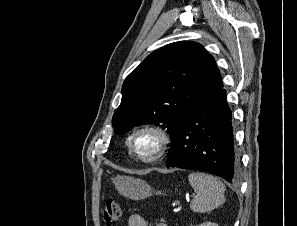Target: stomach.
Masks as SVG:
<instances>
[{
    "label": "stomach",
    "mask_w": 297,
    "mask_h": 226,
    "mask_svg": "<svg viewBox=\"0 0 297 226\" xmlns=\"http://www.w3.org/2000/svg\"><path fill=\"white\" fill-rule=\"evenodd\" d=\"M112 180L118 192L132 200L144 199L154 193L152 187L141 179L129 176H116ZM156 194H161V191H157Z\"/></svg>",
    "instance_id": "0dacf381"
}]
</instances>
